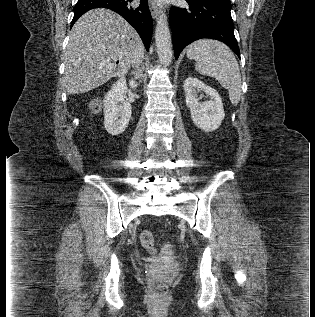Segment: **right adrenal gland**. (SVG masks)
<instances>
[{
  "instance_id": "2a0ac1e0",
  "label": "right adrenal gland",
  "mask_w": 315,
  "mask_h": 317,
  "mask_svg": "<svg viewBox=\"0 0 315 317\" xmlns=\"http://www.w3.org/2000/svg\"><path fill=\"white\" fill-rule=\"evenodd\" d=\"M135 80H138L141 83V78L143 77V67L137 68L132 72Z\"/></svg>"
}]
</instances>
